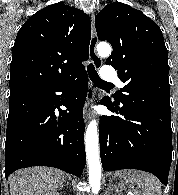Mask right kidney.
Returning <instances> with one entry per match:
<instances>
[{"label": "right kidney", "instance_id": "obj_1", "mask_svg": "<svg viewBox=\"0 0 178 195\" xmlns=\"http://www.w3.org/2000/svg\"><path fill=\"white\" fill-rule=\"evenodd\" d=\"M44 195H60L59 193L55 192V191H50V192H47L46 194Z\"/></svg>", "mask_w": 178, "mask_h": 195}]
</instances>
